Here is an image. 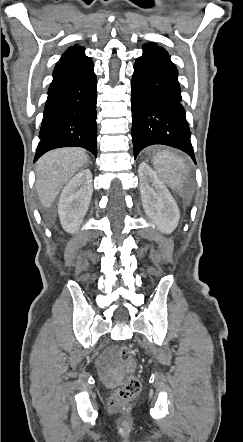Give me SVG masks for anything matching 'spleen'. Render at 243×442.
I'll return each mask as SVG.
<instances>
[{
  "mask_svg": "<svg viewBox=\"0 0 243 442\" xmlns=\"http://www.w3.org/2000/svg\"><path fill=\"white\" fill-rule=\"evenodd\" d=\"M152 160L154 169L166 185L175 189L183 184L186 165L182 158L168 151H159Z\"/></svg>",
  "mask_w": 243,
  "mask_h": 442,
  "instance_id": "1",
  "label": "spleen"
}]
</instances>
